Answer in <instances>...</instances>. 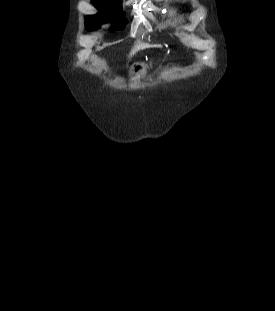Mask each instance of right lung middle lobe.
<instances>
[{
	"label": "right lung middle lobe",
	"instance_id": "dd1d6c3e",
	"mask_svg": "<svg viewBox=\"0 0 275 311\" xmlns=\"http://www.w3.org/2000/svg\"><path fill=\"white\" fill-rule=\"evenodd\" d=\"M100 10V14L88 16L86 18V27L88 30H94L102 23L114 21L118 16H123V12L119 8V5L113 6V5H97L95 6ZM122 26H116L114 29H122Z\"/></svg>",
	"mask_w": 275,
	"mask_h": 311
}]
</instances>
